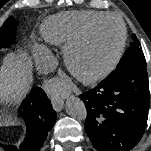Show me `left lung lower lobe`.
Listing matches in <instances>:
<instances>
[{"label": "left lung lower lobe", "mask_w": 151, "mask_h": 151, "mask_svg": "<svg viewBox=\"0 0 151 151\" xmlns=\"http://www.w3.org/2000/svg\"><path fill=\"white\" fill-rule=\"evenodd\" d=\"M79 97L87 109L86 133L98 151H128L140 141L150 104L146 64L112 72Z\"/></svg>", "instance_id": "0a47b994"}]
</instances>
